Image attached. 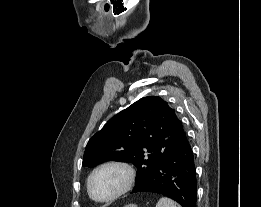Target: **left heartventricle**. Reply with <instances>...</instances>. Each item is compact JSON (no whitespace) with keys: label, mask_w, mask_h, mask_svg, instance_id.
<instances>
[{"label":"left heart ventricle","mask_w":261,"mask_h":207,"mask_svg":"<svg viewBox=\"0 0 261 207\" xmlns=\"http://www.w3.org/2000/svg\"><path fill=\"white\" fill-rule=\"evenodd\" d=\"M125 183V174L119 168H105L94 176L92 192L98 199H106L115 194Z\"/></svg>","instance_id":"obj_1"}]
</instances>
